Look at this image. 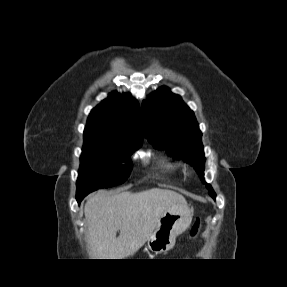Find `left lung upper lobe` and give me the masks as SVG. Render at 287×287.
Returning <instances> with one entry per match:
<instances>
[{"mask_svg": "<svg viewBox=\"0 0 287 287\" xmlns=\"http://www.w3.org/2000/svg\"><path fill=\"white\" fill-rule=\"evenodd\" d=\"M142 127L145 137L155 148L164 149L176 157L190 163L203 183L204 150L202 133L193 111L167 87L159 88L150 99L142 104ZM209 195L215 199L216 193L205 183Z\"/></svg>", "mask_w": 287, "mask_h": 287, "instance_id": "5c2ea615", "label": "left lung upper lobe"}]
</instances>
